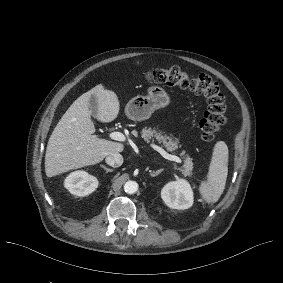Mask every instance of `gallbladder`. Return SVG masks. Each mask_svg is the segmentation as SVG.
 I'll return each mask as SVG.
<instances>
[{"label":"gallbladder","instance_id":"bac80fb5","mask_svg":"<svg viewBox=\"0 0 283 283\" xmlns=\"http://www.w3.org/2000/svg\"><path fill=\"white\" fill-rule=\"evenodd\" d=\"M89 110L91 111V115L93 117H96L97 111H98V104H97L96 97L94 95H92L91 98H90Z\"/></svg>","mask_w":283,"mask_h":283}]
</instances>
